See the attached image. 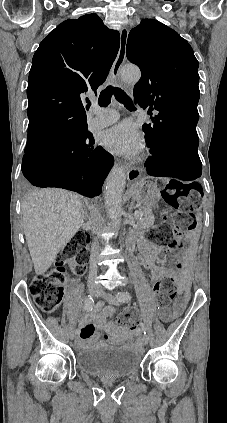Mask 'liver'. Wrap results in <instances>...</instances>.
Wrapping results in <instances>:
<instances>
[{"instance_id":"obj_1","label":"liver","mask_w":227,"mask_h":423,"mask_svg":"<svg viewBox=\"0 0 227 423\" xmlns=\"http://www.w3.org/2000/svg\"><path fill=\"white\" fill-rule=\"evenodd\" d=\"M22 213L35 273L42 275L56 261L58 251L84 225L83 204L78 194L45 188L25 196Z\"/></svg>"}]
</instances>
